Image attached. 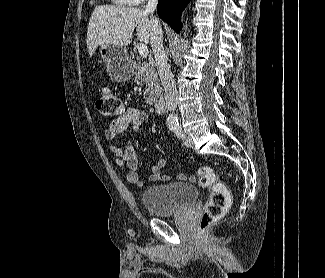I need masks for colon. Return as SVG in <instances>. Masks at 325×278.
Here are the masks:
<instances>
[{"label": "colon", "mask_w": 325, "mask_h": 278, "mask_svg": "<svg viewBox=\"0 0 325 278\" xmlns=\"http://www.w3.org/2000/svg\"><path fill=\"white\" fill-rule=\"evenodd\" d=\"M95 107L102 116L110 119H117L125 112L124 103L108 87L98 90ZM197 178L200 185L209 189V198L198 223V231L203 233L224 216L231 202V194L211 167L201 166L197 170Z\"/></svg>", "instance_id": "obj_1"}]
</instances>
